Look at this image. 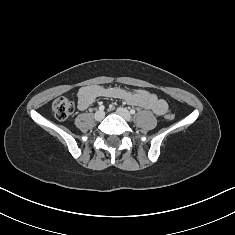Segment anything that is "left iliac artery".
Masks as SVG:
<instances>
[{"mask_svg":"<svg viewBox=\"0 0 235 235\" xmlns=\"http://www.w3.org/2000/svg\"><path fill=\"white\" fill-rule=\"evenodd\" d=\"M130 113H131L132 115H134V114L136 113V111H135L134 109H131V110H130Z\"/></svg>","mask_w":235,"mask_h":235,"instance_id":"44dca946","label":"left iliac artery"}]
</instances>
